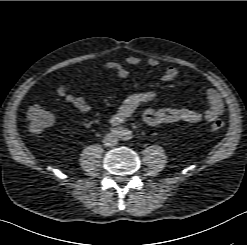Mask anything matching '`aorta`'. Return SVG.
I'll return each instance as SVG.
<instances>
[{"mask_svg":"<svg viewBox=\"0 0 247 245\" xmlns=\"http://www.w3.org/2000/svg\"><path fill=\"white\" fill-rule=\"evenodd\" d=\"M131 137H132V133H131L130 130H125V131L123 132V138H124V139H130Z\"/></svg>","mask_w":247,"mask_h":245,"instance_id":"obj_1","label":"aorta"}]
</instances>
